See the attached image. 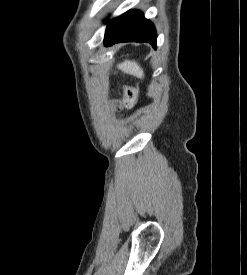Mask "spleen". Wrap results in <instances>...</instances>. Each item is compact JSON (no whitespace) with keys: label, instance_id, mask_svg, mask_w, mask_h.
Here are the masks:
<instances>
[{"label":"spleen","instance_id":"spleen-1","mask_svg":"<svg viewBox=\"0 0 247 275\" xmlns=\"http://www.w3.org/2000/svg\"><path fill=\"white\" fill-rule=\"evenodd\" d=\"M118 69L122 70L124 73L134 75L137 78H143L144 72L143 69L136 61L125 60L123 63H120Z\"/></svg>","mask_w":247,"mask_h":275}]
</instances>
